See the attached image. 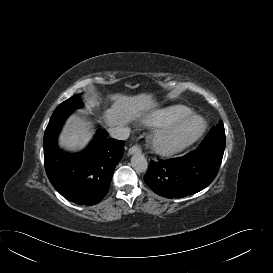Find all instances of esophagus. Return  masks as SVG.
Returning <instances> with one entry per match:
<instances>
[{"label": "esophagus", "instance_id": "1", "mask_svg": "<svg viewBox=\"0 0 273 273\" xmlns=\"http://www.w3.org/2000/svg\"><path fill=\"white\" fill-rule=\"evenodd\" d=\"M138 153H141V148L138 145H134V146L130 147L128 150L129 155L138 154Z\"/></svg>", "mask_w": 273, "mask_h": 273}]
</instances>
